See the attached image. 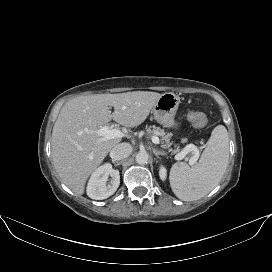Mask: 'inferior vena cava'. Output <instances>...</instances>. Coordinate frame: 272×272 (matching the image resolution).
<instances>
[{
    "instance_id": "1",
    "label": "inferior vena cava",
    "mask_w": 272,
    "mask_h": 272,
    "mask_svg": "<svg viewBox=\"0 0 272 272\" xmlns=\"http://www.w3.org/2000/svg\"><path fill=\"white\" fill-rule=\"evenodd\" d=\"M132 152V146L129 143H120L110 151V157L113 161L127 158Z\"/></svg>"
}]
</instances>
